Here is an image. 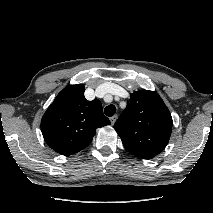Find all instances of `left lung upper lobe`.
<instances>
[{"label":"left lung upper lobe","mask_w":213,"mask_h":213,"mask_svg":"<svg viewBox=\"0 0 213 213\" xmlns=\"http://www.w3.org/2000/svg\"><path fill=\"white\" fill-rule=\"evenodd\" d=\"M114 129L127 151L142 159H151L168 144L172 117L158 93L140 90L131 94Z\"/></svg>","instance_id":"1"}]
</instances>
